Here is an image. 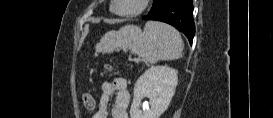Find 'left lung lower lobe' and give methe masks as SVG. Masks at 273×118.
Instances as JSON below:
<instances>
[{
  "instance_id": "obj_1",
  "label": "left lung lower lobe",
  "mask_w": 273,
  "mask_h": 118,
  "mask_svg": "<svg viewBox=\"0 0 273 118\" xmlns=\"http://www.w3.org/2000/svg\"><path fill=\"white\" fill-rule=\"evenodd\" d=\"M143 19L162 21L174 26L183 32L192 44L195 34L192 0H162L159 6Z\"/></svg>"
}]
</instances>
